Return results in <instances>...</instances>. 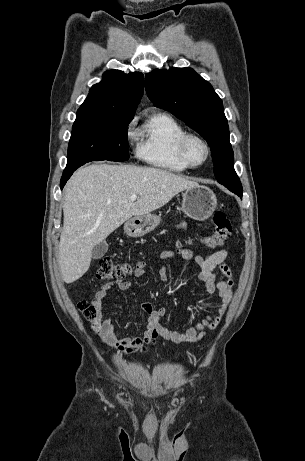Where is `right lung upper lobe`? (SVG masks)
Here are the masks:
<instances>
[{
  "label": "right lung upper lobe",
  "instance_id": "1",
  "mask_svg": "<svg viewBox=\"0 0 305 461\" xmlns=\"http://www.w3.org/2000/svg\"><path fill=\"white\" fill-rule=\"evenodd\" d=\"M143 74L110 70L92 86L77 113L132 118L143 94Z\"/></svg>",
  "mask_w": 305,
  "mask_h": 461
}]
</instances>
